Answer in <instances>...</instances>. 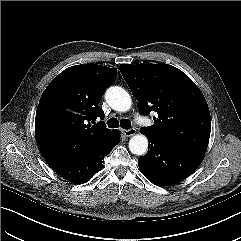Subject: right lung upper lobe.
<instances>
[{"label":"right lung upper lobe","mask_w":241,"mask_h":241,"mask_svg":"<svg viewBox=\"0 0 241 241\" xmlns=\"http://www.w3.org/2000/svg\"><path fill=\"white\" fill-rule=\"evenodd\" d=\"M116 75V68L75 65L47 86L37 107L35 132L39 151L51 167L75 161L111 138L115 130L99 121L104 112L98 104Z\"/></svg>","instance_id":"1"}]
</instances>
